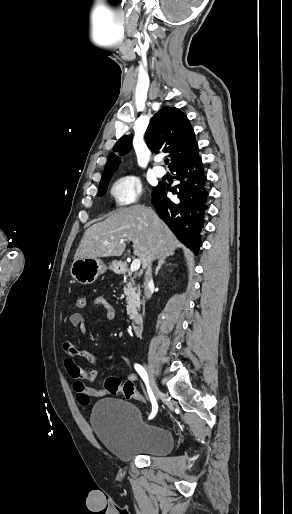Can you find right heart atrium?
I'll return each instance as SVG.
<instances>
[{
    "mask_svg": "<svg viewBox=\"0 0 292 514\" xmlns=\"http://www.w3.org/2000/svg\"><path fill=\"white\" fill-rule=\"evenodd\" d=\"M142 189L140 176L134 172H126L112 180L108 193L115 209H125L138 201Z\"/></svg>",
    "mask_w": 292,
    "mask_h": 514,
    "instance_id": "obj_1",
    "label": "right heart atrium"
}]
</instances>
